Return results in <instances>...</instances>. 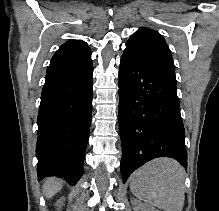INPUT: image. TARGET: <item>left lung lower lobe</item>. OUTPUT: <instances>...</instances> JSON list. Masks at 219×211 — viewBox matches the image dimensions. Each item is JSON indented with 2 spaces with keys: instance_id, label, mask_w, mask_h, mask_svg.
<instances>
[{
  "instance_id": "0a47b994",
  "label": "left lung lower lobe",
  "mask_w": 219,
  "mask_h": 211,
  "mask_svg": "<svg viewBox=\"0 0 219 211\" xmlns=\"http://www.w3.org/2000/svg\"><path fill=\"white\" fill-rule=\"evenodd\" d=\"M119 130L123 183L158 157L187 167L176 78L124 51L119 70Z\"/></svg>"
}]
</instances>
